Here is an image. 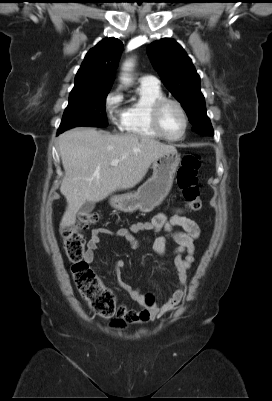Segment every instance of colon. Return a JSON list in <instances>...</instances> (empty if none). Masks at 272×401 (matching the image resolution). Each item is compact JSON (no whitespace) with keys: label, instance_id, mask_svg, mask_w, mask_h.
I'll list each match as a JSON object with an SVG mask.
<instances>
[{"label":"colon","instance_id":"colon-1","mask_svg":"<svg viewBox=\"0 0 272 401\" xmlns=\"http://www.w3.org/2000/svg\"><path fill=\"white\" fill-rule=\"evenodd\" d=\"M200 164L201 159L198 155L188 154L183 157L177 171V184L190 211H199L202 207L197 177ZM99 220L100 215L97 212L80 215L77 221L64 232V250L72 263L74 281L82 297L99 316L119 317L122 314V308L117 305L115 295L101 283L84 259L83 231L97 224Z\"/></svg>","mask_w":272,"mask_h":401}]
</instances>
